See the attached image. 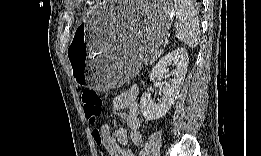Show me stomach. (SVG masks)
<instances>
[{
	"instance_id": "0dacf381",
	"label": "stomach",
	"mask_w": 261,
	"mask_h": 156,
	"mask_svg": "<svg viewBox=\"0 0 261 156\" xmlns=\"http://www.w3.org/2000/svg\"><path fill=\"white\" fill-rule=\"evenodd\" d=\"M171 12L162 2L96 5L77 26L68 49L75 82L105 90L129 81L162 44Z\"/></svg>"
}]
</instances>
